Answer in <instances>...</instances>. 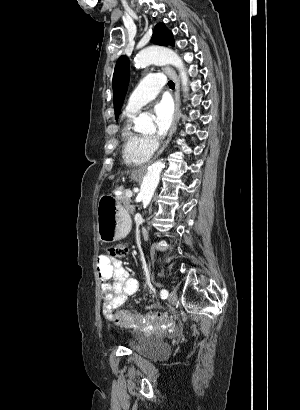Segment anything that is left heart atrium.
<instances>
[{
    "label": "left heart atrium",
    "mask_w": 300,
    "mask_h": 410,
    "mask_svg": "<svg viewBox=\"0 0 300 410\" xmlns=\"http://www.w3.org/2000/svg\"><path fill=\"white\" fill-rule=\"evenodd\" d=\"M156 133L159 137L167 134L173 121V107L167 100H161L153 107Z\"/></svg>",
    "instance_id": "39dd6f15"
}]
</instances>
